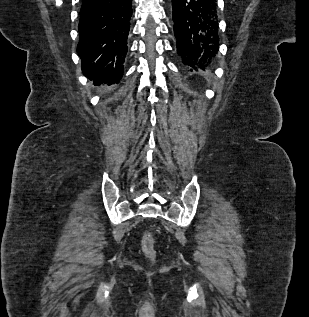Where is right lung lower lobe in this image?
I'll return each instance as SVG.
<instances>
[{"label": "right lung lower lobe", "mask_w": 309, "mask_h": 317, "mask_svg": "<svg viewBox=\"0 0 309 317\" xmlns=\"http://www.w3.org/2000/svg\"><path fill=\"white\" fill-rule=\"evenodd\" d=\"M132 0H82L78 55L95 84L118 83L128 51Z\"/></svg>", "instance_id": "1"}]
</instances>
